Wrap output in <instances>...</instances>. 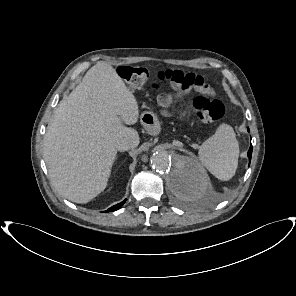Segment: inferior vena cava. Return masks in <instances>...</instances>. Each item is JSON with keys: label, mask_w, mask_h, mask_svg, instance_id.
Returning <instances> with one entry per match:
<instances>
[{"label": "inferior vena cava", "mask_w": 296, "mask_h": 296, "mask_svg": "<svg viewBox=\"0 0 296 296\" xmlns=\"http://www.w3.org/2000/svg\"><path fill=\"white\" fill-rule=\"evenodd\" d=\"M133 147H134V144L128 139H121L116 143V149L118 151H126Z\"/></svg>", "instance_id": "inferior-vena-cava-1"}]
</instances>
